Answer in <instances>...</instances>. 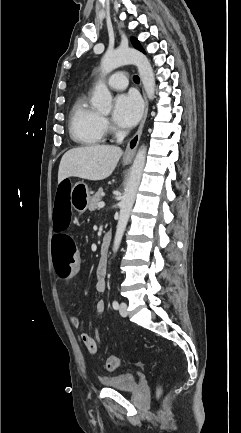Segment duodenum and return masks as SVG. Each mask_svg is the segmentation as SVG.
<instances>
[{"mask_svg": "<svg viewBox=\"0 0 241 433\" xmlns=\"http://www.w3.org/2000/svg\"><path fill=\"white\" fill-rule=\"evenodd\" d=\"M110 245H111V234L108 232L105 234L100 248L101 257L103 260H105L108 256Z\"/></svg>", "mask_w": 241, "mask_h": 433, "instance_id": "obj_1", "label": "duodenum"}]
</instances>
